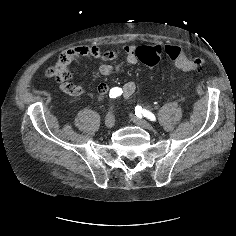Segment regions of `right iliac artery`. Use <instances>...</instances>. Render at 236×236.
Listing matches in <instances>:
<instances>
[{
  "mask_svg": "<svg viewBox=\"0 0 236 236\" xmlns=\"http://www.w3.org/2000/svg\"><path fill=\"white\" fill-rule=\"evenodd\" d=\"M123 91L119 87H114L110 90L109 97L110 98H116L122 95Z\"/></svg>",
  "mask_w": 236,
  "mask_h": 236,
  "instance_id": "right-iliac-artery-1",
  "label": "right iliac artery"
}]
</instances>
